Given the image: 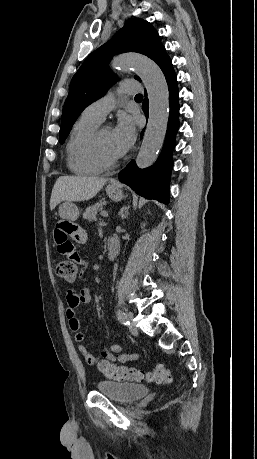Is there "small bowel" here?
<instances>
[{
    "mask_svg": "<svg viewBox=\"0 0 257 459\" xmlns=\"http://www.w3.org/2000/svg\"><path fill=\"white\" fill-rule=\"evenodd\" d=\"M62 222L56 223L55 230L52 231L53 243L58 248V254L69 264H82L85 266L87 257L83 255V250L80 246H77V244L88 243V236L84 235V227H76L75 223H68L69 221L66 218ZM66 299L65 315L70 329L76 332L75 340L79 343L78 350L89 365H94L97 362V358L82 344L85 336L80 331L81 322L76 316V310L81 304H90L92 300L91 292L88 288L69 290ZM102 357L109 361L126 363L136 360L138 355L125 352L124 347L119 344H112L103 349Z\"/></svg>",
    "mask_w": 257,
    "mask_h": 459,
    "instance_id": "small-bowel-1",
    "label": "small bowel"
}]
</instances>
